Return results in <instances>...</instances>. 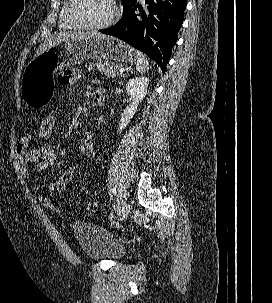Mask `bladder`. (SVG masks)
I'll return each mask as SVG.
<instances>
[{"label": "bladder", "instance_id": "bladder-1", "mask_svg": "<svg viewBox=\"0 0 272 303\" xmlns=\"http://www.w3.org/2000/svg\"><path fill=\"white\" fill-rule=\"evenodd\" d=\"M71 229L82 253L92 260L118 261L125 255L121 241L108 229L85 220H77Z\"/></svg>", "mask_w": 272, "mask_h": 303}]
</instances>
